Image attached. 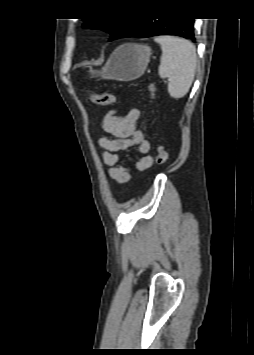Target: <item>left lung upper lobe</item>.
<instances>
[{
  "instance_id": "left-lung-upper-lobe-1",
  "label": "left lung upper lobe",
  "mask_w": 254,
  "mask_h": 355,
  "mask_svg": "<svg viewBox=\"0 0 254 355\" xmlns=\"http://www.w3.org/2000/svg\"><path fill=\"white\" fill-rule=\"evenodd\" d=\"M134 18L114 19V18H97L84 19V27L92 29H101L111 34L110 41L118 39L130 26Z\"/></svg>"
}]
</instances>
